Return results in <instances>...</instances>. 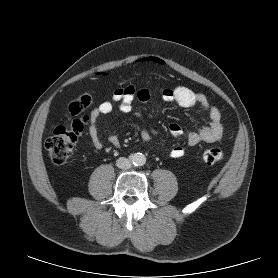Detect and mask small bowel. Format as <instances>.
I'll use <instances>...</instances> for the list:
<instances>
[{"label":"small bowel","mask_w":278,"mask_h":278,"mask_svg":"<svg viewBox=\"0 0 278 278\" xmlns=\"http://www.w3.org/2000/svg\"><path fill=\"white\" fill-rule=\"evenodd\" d=\"M105 76V74H101ZM161 98L167 103H175L182 108H192L199 106L208 115L210 122L202 126L197 131H191L187 134V141L190 146H195L200 143H212L220 140L224 133V125L222 115L219 108L210 104L208 98L202 93H196L184 85H177L173 88H163L161 90ZM151 93L147 88H137L134 85L117 88L112 94V101L100 103L91 113L88 132L91 141L96 149H102L103 145L98 136L97 118L100 115H106L113 111L114 103H117L119 109L123 113H129L132 110V104L135 100L140 102H149ZM134 118L139 121L143 128L141 129V138L146 143L152 142L150 130L145 125L142 116L135 113ZM169 132L173 137H180L184 134L182 127L177 123H172L169 126ZM108 141L114 146H120L119 138L114 134L108 135ZM185 153L182 146L176 145L170 151L172 158H181Z\"/></svg>","instance_id":"small-bowel-1"}]
</instances>
